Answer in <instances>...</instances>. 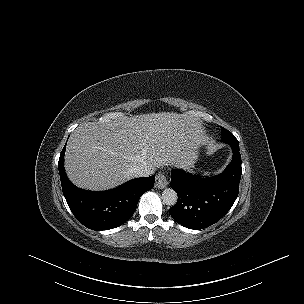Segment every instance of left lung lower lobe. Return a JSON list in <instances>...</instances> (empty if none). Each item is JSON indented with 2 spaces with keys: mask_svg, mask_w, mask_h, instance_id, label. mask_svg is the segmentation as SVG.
<instances>
[{
  "mask_svg": "<svg viewBox=\"0 0 304 304\" xmlns=\"http://www.w3.org/2000/svg\"><path fill=\"white\" fill-rule=\"evenodd\" d=\"M233 159L219 175L195 176L173 169L170 186L178 194L177 203L169 209L182 226L200 230L219 221L234 204L242 174L239 143H228Z\"/></svg>",
  "mask_w": 304,
  "mask_h": 304,
  "instance_id": "obj_1",
  "label": "left lung lower lobe"
}]
</instances>
